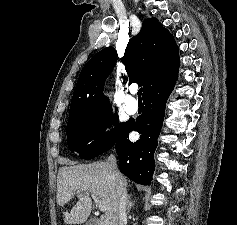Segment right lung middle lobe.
I'll use <instances>...</instances> for the list:
<instances>
[{"label":"right lung middle lobe","mask_w":237,"mask_h":225,"mask_svg":"<svg viewBox=\"0 0 237 225\" xmlns=\"http://www.w3.org/2000/svg\"><path fill=\"white\" fill-rule=\"evenodd\" d=\"M118 117L110 110L93 116H84L69 112L66 127L67 143L71 152H78L83 159H92L111 149L116 143L127 122L117 124ZM117 124L114 129L104 133V130Z\"/></svg>","instance_id":"right-lung-middle-lobe-1"}]
</instances>
